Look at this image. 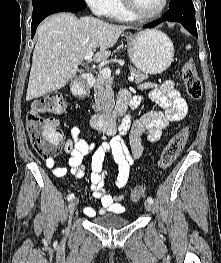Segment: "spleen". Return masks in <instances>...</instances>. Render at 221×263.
<instances>
[{"instance_id": "3e777b00", "label": "spleen", "mask_w": 221, "mask_h": 263, "mask_svg": "<svg viewBox=\"0 0 221 263\" xmlns=\"http://www.w3.org/2000/svg\"><path fill=\"white\" fill-rule=\"evenodd\" d=\"M190 48H191V45H187V46H186V49L189 50Z\"/></svg>"}]
</instances>
